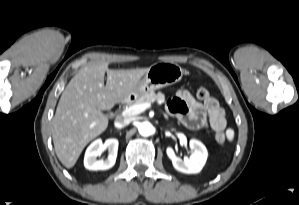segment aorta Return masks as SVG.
<instances>
[{
    "instance_id": "762f6f07",
    "label": "aorta",
    "mask_w": 299,
    "mask_h": 205,
    "mask_svg": "<svg viewBox=\"0 0 299 205\" xmlns=\"http://www.w3.org/2000/svg\"><path fill=\"white\" fill-rule=\"evenodd\" d=\"M153 126L149 122H142L138 126V131L142 136H149L153 133Z\"/></svg>"
}]
</instances>
